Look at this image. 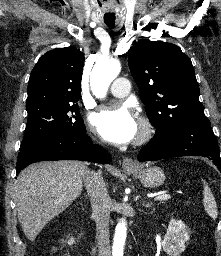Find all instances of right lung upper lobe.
<instances>
[{"label":"right lung upper lobe","instance_id":"1","mask_svg":"<svg viewBox=\"0 0 221 256\" xmlns=\"http://www.w3.org/2000/svg\"><path fill=\"white\" fill-rule=\"evenodd\" d=\"M84 54L57 48L39 58L28 83L26 109L42 104H74L81 95Z\"/></svg>","mask_w":221,"mask_h":256}]
</instances>
